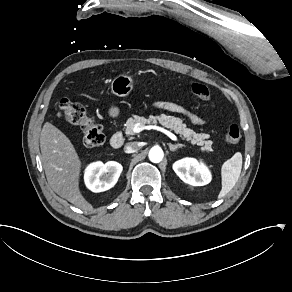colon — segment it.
<instances>
[{
    "mask_svg": "<svg viewBox=\"0 0 292 292\" xmlns=\"http://www.w3.org/2000/svg\"><path fill=\"white\" fill-rule=\"evenodd\" d=\"M192 93L202 99H210V90L201 83H195L191 86ZM57 116L67 122L79 126L83 130L82 143L87 147H96L101 145L105 140L103 128L97 121L91 117L86 107L78 101L69 98H63L57 109ZM241 138L239 126L231 125L227 131L229 142H237Z\"/></svg>",
    "mask_w": 292,
    "mask_h": 292,
    "instance_id": "5ec220e1",
    "label": "colon"
}]
</instances>
